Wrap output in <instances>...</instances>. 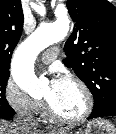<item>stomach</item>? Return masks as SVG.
Wrapping results in <instances>:
<instances>
[{"mask_svg": "<svg viewBox=\"0 0 116 134\" xmlns=\"http://www.w3.org/2000/svg\"><path fill=\"white\" fill-rule=\"evenodd\" d=\"M59 134H73L70 129H65ZM76 134H116V129L113 124L104 119H95L87 123L81 132Z\"/></svg>", "mask_w": 116, "mask_h": 134, "instance_id": "0dacf381", "label": "stomach"}]
</instances>
